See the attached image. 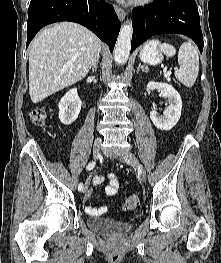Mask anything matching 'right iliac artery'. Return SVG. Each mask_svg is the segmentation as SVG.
Masks as SVG:
<instances>
[{
  "label": "right iliac artery",
  "instance_id": "right-iliac-artery-1",
  "mask_svg": "<svg viewBox=\"0 0 221 263\" xmlns=\"http://www.w3.org/2000/svg\"><path fill=\"white\" fill-rule=\"evenodd\" d=\"M95 162H90L88 165H87V170H91V169H93L94 167H95ZM78 190L79 191H82L83 190V184L82 183H80L79 185H78Z\"/></svg>",
  "mask_w": 221,
  "mask_h": 263
}]
</instances>
